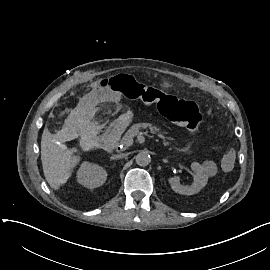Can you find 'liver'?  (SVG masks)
<instances>
[{"mask_svg":"<svg viewBox=\"0 0 270 270\" xmlns=\"http://www.w3.org/2000/svg\"><path fill=\"white\" fill-rule=\"evenodd\" d=\"M63 144H57L52 134L44 129L41 139V161L44 176L55 190L66 183L71 169L79 162L77 156Z\"/></svg>","mask_w":270,"mask_h":270,"instance_id":"liver-1","label":"liver"}]
</instances>
